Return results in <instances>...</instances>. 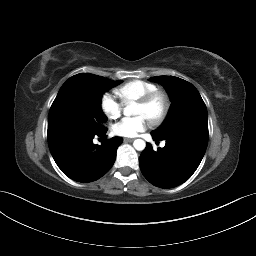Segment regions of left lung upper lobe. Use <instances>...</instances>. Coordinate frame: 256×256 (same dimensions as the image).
<instances>
[{
    "label": "left lung upper lobe",
    "instance_id": "5c2ea615",
    "mask_svg": "<svg viewBox=\"0 0 256 256\" xmlns=\"http://www.w3.org/2000/svg\"><path fill=\"white\" fill-rule=\"evenodd\" d=\"M149 80L162 84L172 100L167 118L151 135L159 140L185 139L207 147V109L198 90L174 76H156Z\"/></svg>",
    "mask_w": 256,
    "mask_h": 256
}]
</instances>
